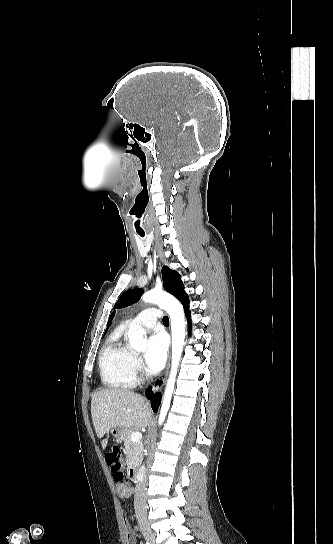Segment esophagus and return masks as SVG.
<instances>
[{
  "label": "esophagus",
  "instance_id": "1",
  "mask_svg": "<svg viewBox=\"0 0 333 544\" xmlns=\"http://www.w3.org/2000/svg\"><path fill=\"white\" fill-rule=\"evenodd\" d=\"M169 367H170V359L167 363V366L165 368V371L163 372V374L154 381L153 385H152V391L153 393H156L158 392L159 390H161V388L163 387L167 377H168V373H169Z\"/></svg>",
  "mask_w": 333,
  "mask_h": 544
}]
</instances>
